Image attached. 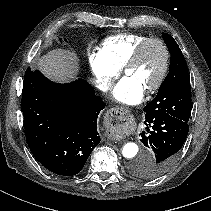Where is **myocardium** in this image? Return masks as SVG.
<instances>
[{
  "mask_svg": "<svg viewBox=\"0 0 211 211\" xmlns=\"http://www.w3.org/2000/svg\"><path fill=\"white\" fill-rule=\"evenodd\" d=\"M150 44H156L162 50L163 65L156 82L146 90V92L149 94L154 93L157 90H159L167 78L169 68H170V52L166 43L162 39L157 38V37L145 38L135 47L132 54L130 55V57L125 62V65L123 66V71L125 73L128 68H130L131 66L135 65L138 62L141 54L143 53L145 48Z\"/></svg>",
  "mask_w": 211,
  "mask_h": 211,
  "instance_id": "obj_1",
  "label": "myocardium"
}]
</instances>
